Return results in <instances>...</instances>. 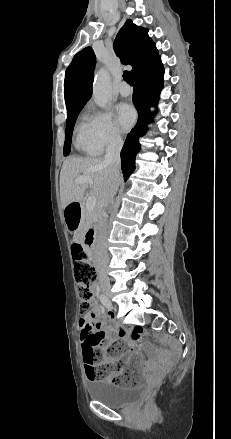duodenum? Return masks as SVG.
I'll return each instance as SVG.
<instances>
[{"label":"duodenum","mask_w":231,"mask_h":439,"mask_svg":"<svg viewBox=\"0 0 231 439\" xmlns=\"http://www.w3.org/2000/svg\"><path fill=\"white\" fill-rule=\"evenodd\" d=\"M81 206V202L77 201L74 203H71L68 206V211L70 212L71 215H74L78 209ZM94 236H95V230L94 229H89L84 236V244L91 247L93 245V241H94Z\"/></svg>","instance_id":"duodenum-1"}]
</instances>
